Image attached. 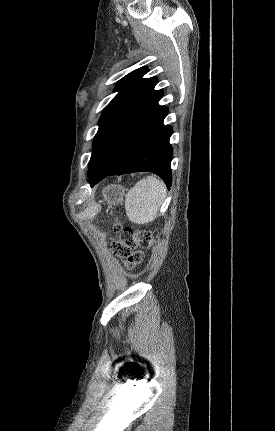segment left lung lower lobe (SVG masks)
Wrapping results in <instances>:
<instances>
[{"instance_id": "obj_1", "label": "left lung lower lobe", "mask_w": 275, "mask_h": 431, "mask_svg": "<svg viewBox=\"0 0 275 431\" xmlns=\"http://www.w3.org/2000/svg\"><path fill=\"white\" fill-rule=\"evenodd\" d=\"M167 113L168 108L164 106L122 149L105 171L90 177L91 187L109 175L144 171L159 175L170 189L172 183L170 163L173 151L169 138L173 129L163 124Z\"/></svg>"}]
</instances>
